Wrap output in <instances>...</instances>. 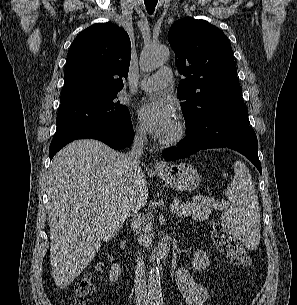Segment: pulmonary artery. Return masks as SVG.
Masks as SVG:
<instances>
[{
    "label": "pulmonary artery",
    "mask_w": 297,
    "mask_h": 305,
    "mask_svg": "<svg viewBox=\"0 0 297 305\" xmlns=\"http://www.w3.org/2000/svg\"><path fill=\"white\" fill-rule=\"evenodd\" d=\"M172 82V72L169 68H161L155 74L142 79L139 87L145 91L164 89Z\"/></svg>",
    "instance_id": "obj_1"
}]
</instances>
